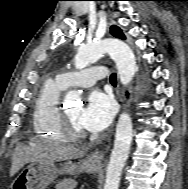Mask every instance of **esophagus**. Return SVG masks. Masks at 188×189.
Wrapping results in <instances>:
<instances>
[{"label": "esophagus", "mask_w": 188, "mask_h": 189, "mask_svg": "<svg viewBox=\"0 0 188 189\" xmlns=\"http://www.w3.org/2000/svg\"><path fill=\"white\" fill-rule=\"evenodd\" d=\"M103 158L104 154L101 151H95L89 157V159L94 163H100L103 160Z\"/></svg>", "instance_id": "1"}]
</instances>
